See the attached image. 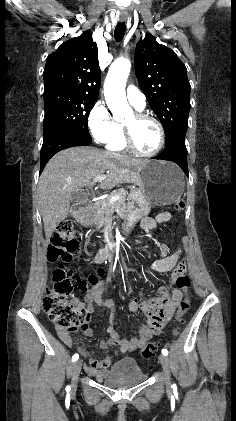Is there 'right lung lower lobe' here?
<instances>
[{"label":"right lung lower lobe","mask_w":236,"mask_h":421,"mask_svg":"<svg viewBox=\"0 0 236 421\" xmlns=\"http://www.w3.org/2000/svg\"><path fill=\"white\" fill-rule=\"evenodd\" d=\"M91 142V139L68 131H57L44 138L41 149L40 173L49 159L57 152L74 146L90 145Z\"/></svg>","instance_id":"1"}]
</instances>
